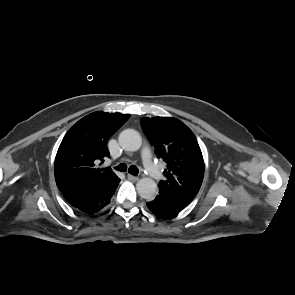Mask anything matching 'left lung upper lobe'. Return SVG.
I'll list each match as a JSON object with an SVG mask.
<instances>
[{
    "label": "left lung upper lobe",
    "instance_id": "5c2ea615",
    "mask_svg": "<svg viewBox=\"0 0 295 295\" xmlns=\"http://www.w3.org/2000/svg\"><path fill=\"white\" fill-rule=\"evenodd\" d=\"M144 133L166 163L159 189L195 198L204 176L203 156L193 132L171 117L142 118Z\"/></svg>",
    "mask_w": 295,
    "mask_h": 295
}]
</instances>
